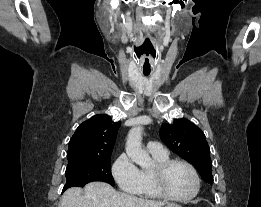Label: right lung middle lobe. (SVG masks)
<instances>
[{
  "mask_svg": "<svg viewBox=\"0 0 261 207\" xmlns=\"http://www.w3.org/2000/svg\"><path fill=\"white\" fill-rule=\"evenodd\" d=\"M65 175L67 182L63 191L74 186L83 187L93 181L115 185L110 169V157L70 162Z\"/></svg>",
  "mask_w": 261,
  "mask_h": 207,
  "instance_id": "obj_1",
  "label": "right lung middle lobe"
}]
</instances>
